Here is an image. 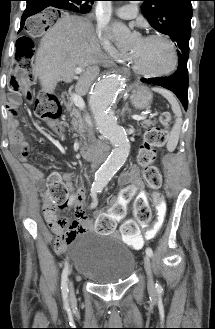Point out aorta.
Segmentation results:
<instances>
[{"instance_id":"aorta-1","label":"aorta","mask_w":215,"mask_h":329,"mask_svg":"<svg viewBox=\"0 0 215 329\" xmlns=\"http://www.w3.org/2000/svg\"><path fill=\"white\" fill-rule=\"evenodd\" d=\"M112 31L118 45L130 44L131 34L123 23L113 22ZM123 86L124 81L120 76L107 74L93 85L90 92L89 105L94 115L96 128L113 146L111 154L95 174L93 186L96 188L108 184L116 171L125 163L130 152V142L126 131L118 124L113 112V105Z\"/></svg>"}]
</instances>
